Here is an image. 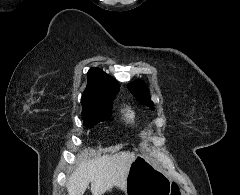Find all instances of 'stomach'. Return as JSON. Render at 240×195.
<instances>
[{
  "label": "stomach",
  "instance_id": "0dacf381",
  "mask_svg": "<svg viewBox=\"0 0 240 195\" xmlns=\"http://www.w3.org/2000/svg\"><path fill=\"white\" fill-rule=\"evenodd\" d=\"M125 195H170V179L156 163L136 153L128 171Z\"/></svg>",
  "mask_w": 240,
  "mask_h": 195
}]
</instances>
